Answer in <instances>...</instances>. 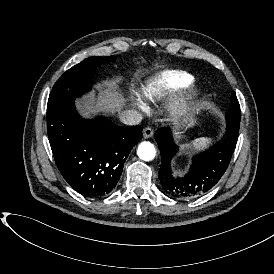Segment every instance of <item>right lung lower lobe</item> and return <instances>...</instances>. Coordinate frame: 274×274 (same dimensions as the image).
Returning a JSON list of instances; mask_svg holds the SVG:
<instances>
[{"mask_svg":"<svg viewBox=\"0 0 274 274\" xmlns=\"http://www.w3.org/2000/svg\"><path fill=\"white\" fill-rule=\"evenodd\" d=\"M141 125L120 127L100 116L84 119L74 102L47 114V132L56 165L68 184L89 198L110 194L124 163L142 138Z\"/></svg>","mask_w":274,"mask_h":274,"instance_id":"1","label":"right lung lower lobe"}]
</instances>
